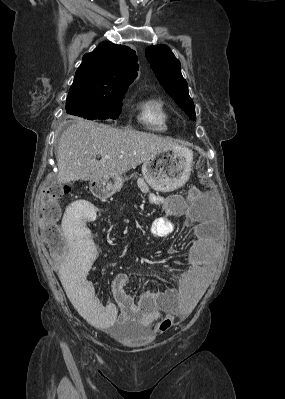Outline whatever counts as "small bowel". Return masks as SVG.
<instances>
[{
    "mask_svg": "<svg viewBox=\"0 0 285 399\" xmlns=\"http://www.w3.org/2000/svg\"><path fill=\"white\" fill-rule=\"evenodd\" d=\"M149 201L161 205L165 211V216L156 218L149 226V232L157 237H167L174 232L172 217L193 215V205L183 203L175 195L162 202L160 197L150 194ZM83 212L93 218L91 207L81 200L72 202L66 208L62 225L71 255L64 261L54 260V263L66 295L87 321L108 332L126 323L163 332L193 312L209 280L206 238L203 234H197L189 243L187 267L179 278L177 288L158 291L153 287L132 286L130 291L125 280L118 278L111 288L114 303L102 305L88 279L95 255L89 241L90 222L79 216ZM158 309L167 312V315L162 317Z\"/></svg>",
    "mask_w": 285,
    "mask_h": 399,
    "instance_id": "1",
    "label": "small bowel"
}]
</instances>
